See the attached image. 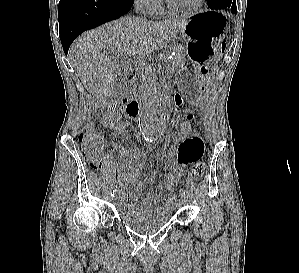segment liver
<instances>
[{
    "label": "liver",
    "instance_id": "obj_1",
    "mask_svg": "<svg viewBox=\"0 0 299 273\" xmlns=\"http://www.w3.org/2000/svg\"><path fill=\"white\" fill-rule=\"evenodd\" d=\"M186 24L187 20L153 22L127 16L78 37L69 56L94 106L104 104L112 93L118 94L113 82L120 66L117 53L142 60L174 39Z\"/></svg>",
    "mask_w": 299,
    "mask_h": 273
}]
</instances>
